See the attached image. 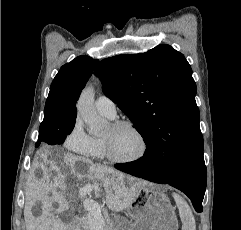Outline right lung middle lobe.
<instances>
[{"label":"right lung middle lobe","instance_id":"dd1d6c3e","mask_svg":"<svg viewBox=\"0 0 241 230\" xmlns=\"http://www.w3.org/2000/svg\"><path fill=\"white\" fill-rule=\"evenodd\" d=\"M75 125V119L55 121L44 119L40 124L39 137L36 147L40 145V141L49 145L62 144L67 135H69Z\"/></svg>","mask_w":241,"mask_h":230}]
</instances>
